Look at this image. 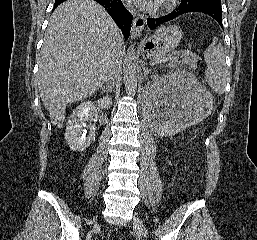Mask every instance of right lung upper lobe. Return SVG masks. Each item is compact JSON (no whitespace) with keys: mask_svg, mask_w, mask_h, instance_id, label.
Wrapping results in <instances>:
<instances>
[{"mask_svg":"<svg viewBox=\"0 0 257 240\" xmlns=\"http://www.w3.org/2000/svg\"><path fill=\"white\" fill-rule=\"evenodd\" d=\"M65 0H55V5H59L61 4L62 2H64Z\"/></svg>","mask_w":257,"mask_h":240,"instance_id":"cb5924a9","label":"right lung upper lobe"}]
</instances>
